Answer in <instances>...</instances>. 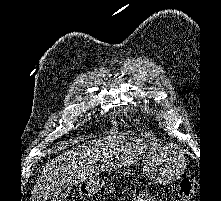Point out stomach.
I'll return each mask as SVG.
<instances>
[{
	"label": "stomach",
	"instance_id": "obj_1",
	"mask_svg": "<svg viewBox=\"0 0 221 201\" xmlns=\"http://www.w3.org/2000/svg\"><path fill=\"white\" fill-rule=\"evenodd\" d=\"M185 164L182 152L164 148L146 155L143 160V173L156 183L166 184L177 180L183 174ZM104 184V180L94 178L80 186V193L83 195L94 194L101 190Z\"/></svg>",
	"mask_w": 221,
	"mask_h": 201
}]
</instances>
